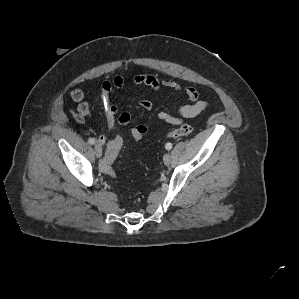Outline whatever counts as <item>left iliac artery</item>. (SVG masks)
I'll list each match as a JSON object with an SVG mask.
<instances>
[{
  "instance_id": "44dca946",
  "label": "left iliac artery",
  "mask_w": 299,
  "mask_h": 299,
  "mask_svg": "<svg viewBox=\"0 0 299 299\" xmlns=\"http://www.w3.org/2000/svg\"><path fill=\"white\" fill-rule=\"evenodd\" d=\"M165 148H166L167 150H170V149L172 148V144H171L170 142H169V143H166Z\"/></svg>"
}]
</instances>
